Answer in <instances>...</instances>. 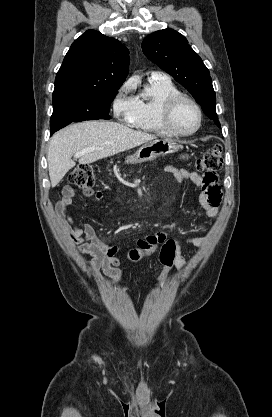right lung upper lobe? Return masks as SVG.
<instances>
[{
	"label": "right lung upper lobe",
	"instance_id": "1",
	"mask_svg": "<svg viewBox=\"0 0 272 417\" xmlns=\"http://www.w3.org/2000/svg\"><path fill=\"white\" fill-rule=\"evenodd\" d=\"M129 70L128 50L95 30L76 39L55 78L53 95L104 92L119 88Z\"/></svg>",
	"mask_w": 272,
	"mask_h": 417
}]
</instances>
